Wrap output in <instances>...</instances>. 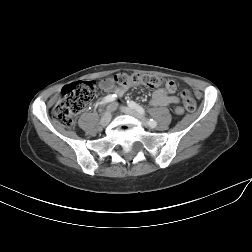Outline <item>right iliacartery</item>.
<instances>
[{"label":"right iliac artery","instance_id":"right-iliac-artery-1","mask_svg":"<svg viewBox=\"0 0 252 252\" xmlns=\"http://www.w3.org/2000/svg\"><path fill=\"white\" fill-rule=\"evenodd\" d=\"M116 100V95H108L106 96L103 101L100 102V107H103L105 104L109 103V102H112ZM101 110V109H100Z\"/></svg>","mask_w":252,"mask_h":252}]
</instances>
